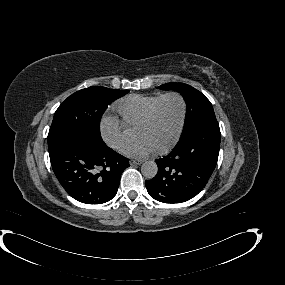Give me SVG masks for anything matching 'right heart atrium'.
I'll return each instance as SVG.
<instances>
[{"label":"right heart atrium","mask_w":285,"mask_h":285,"mask_svg":"<svg viewBox=\"0 0 285 285\" xmlns=\"http://www.w3.org/2000/svg\"><path fill=\"white\" fill-rule=\"evenodd\" d=\"M100 133L105 143L114 149H121L128 143V136L124 127L114 116L106 115L102 119Z\"/></svg>","instance_id":"obj_1"}]
</instances>
